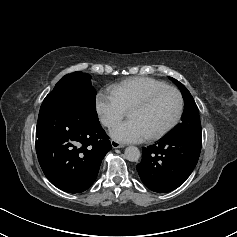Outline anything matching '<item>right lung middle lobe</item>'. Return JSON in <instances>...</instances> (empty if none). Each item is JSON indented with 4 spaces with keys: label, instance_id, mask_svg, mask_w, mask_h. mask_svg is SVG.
Returning a JSON list of instances; mask_svg holds the SVG:
<instances>
[{
    "label": "right lung middle lobe",
    "instance_id": "obj_1",
    "mask_svg": "<svg viewBox=\"0 0 237 237\" xmlns=\"http://www.w3.org/2000/svg\"><path fill=\"white\" fill-rule=\"evenodd\" d=\"M87 73L74 72L60 79L45 97L44 104L57 107L83 121H98L95 100L96 90Z\"/></svg>",
    "mask_w": 237,
    "mask_h": 237
}]
</instances>
